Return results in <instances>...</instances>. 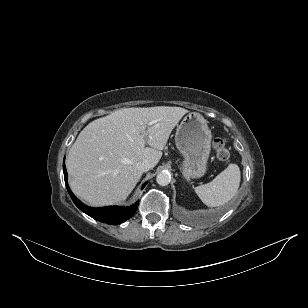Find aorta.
Listing matches in <instances>:
<instances>
[{"mask_svg":"<svg viewBox=\"0 0 308 308\" xmlns=\"http://www.w3.org/2000/svg\"><path fill=\"white\" fill-rule=\"evenodd\" d=\"M156 181L159 185L161 186H166L170 183L171 181V176L168 172L166 171H162L160 172L157 177H156Z\"/></svg>","mask_w":308,"mask_h":308,"instance_id":"1","label":"aorta"}]
</instances>
